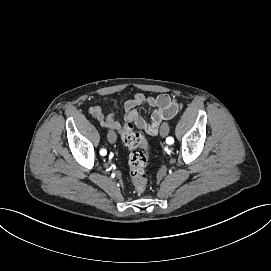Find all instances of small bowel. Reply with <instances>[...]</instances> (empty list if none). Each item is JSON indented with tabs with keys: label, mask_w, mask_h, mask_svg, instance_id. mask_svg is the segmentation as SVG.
Listing matches in <instances>:
<instances>
[{
	"label": "small bowel",
	"mask_w": 271,
	"mask_h": 271,
	"mask_svg": "<svg viewBox=\"0 0 271 271\" xmlns=\"http://www.w3.org/2000/svg\"><path fill=\"white\" fill-rule=\"evenodd\" d=\"M153 108L150 120H146L137 110L141 106ZM179 111L178 102L167 94L158 96H145L138 93L124 104L123 121L117 120L112 114H105L98 105H93L88 112L91 117L99 121L100 125L109 132H123L128 123L133 124L146 133L155 135L159 126L172 119Z\"/></svg>",
	"instance_id": "c3829d8e"
}]
</instances>
